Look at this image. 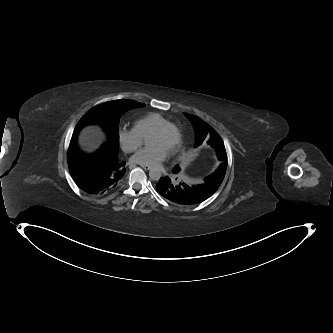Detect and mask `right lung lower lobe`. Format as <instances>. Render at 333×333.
<instances>
[{"label":"right lung lower lobe","mask_w":333,"mask_h":333,"mask_svg":"<svg viewBox=\"0 0 333 333\" xmlns=\"http://www.w3.org/2000/svg\"><path fill=\"white\" fill-rule=\"evenodd\" d=\"M76 138L72 136L68 150L69 170L75 183L90 195L114 190L126 172L125 162L108 146L96 155H84L77 148Z\"/></svg>","instance_id":"98d812e1"}]
</instances>
